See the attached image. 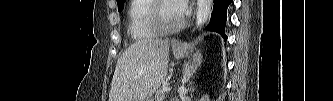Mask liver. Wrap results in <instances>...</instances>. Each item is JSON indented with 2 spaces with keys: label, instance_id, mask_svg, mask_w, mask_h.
<instances>
[{
  "label": "liver",
  "instance_id": "liver-1",
  "mask_svg": "<svg viewBox=\"0 0 333 101\" xmlns=\"http://www.w3.org/2000/svg\"><path fill=\"white\" fill-rule=\"evenodd\" d=\"M168 62V40L133 43L117 61L109 101H147L165 80Z\"/></svg>",
  "mask_w": 333,
  "mask_h": 101
}]
</instances>
